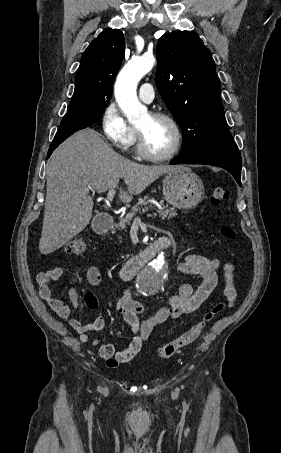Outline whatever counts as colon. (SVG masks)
Wrapping results in <instances>:
<instances>
[{
	"label": "colon",
	"instance_id": "obj_1",
	"mask_svg": "<svg viewBox=\"0 0 281 453\" xmlns=\"http://www.w3.org/2000/svg\"><path fill=\"white\" fill-rule=\"evenodd\" d=\"M229 194V189L225 186H219L213 189L210 195V202L214 205H222ZM221 236L227 239H232L235 236L234 230L229 226H221L219 228ZM63 250L68 257H84L88 252V244L83 238H74L65 243ZM226 308L224 301H220L212 305L201 316V318L190 328L189 331L180 334L175 340L168 342L159 349V357L161 361H168L178 350L184 349L192 345L211 325L217 315L223 312Z\"/></svg>",
	"mask_w": 281,
	"mask_h": 453
}]
</instances>
